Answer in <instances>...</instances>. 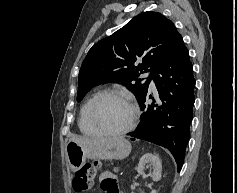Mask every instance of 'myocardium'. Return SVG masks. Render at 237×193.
Returning <instances> with one entry per match:
<instances>
[{"label": "myocardium", "instance_id": "obj_1", "mask_svg": "<svg viewBox=\"0 0 237 193\" xmlns=\"http://www.w3.org/2000/svg\"><path fill=\"white\" fill-rule=\"evenodd\" d=\"M109 97L121 99L125 101L131 107V110H132L131 120L129 124L121 130H117V131L104 130L98 126L95 120V111H96L97 106L102 100ZM138 118H139V107L137 103L135 102V100L132 97L118 91H104V92L99 93L92 101L88 110V120H89L90 125L99 135L106 136V137H117V136H122V135L127 134L134 128V126L137 123Z\"/></svg>", "mask_w": 237, "mask_h": 193}]
</instances>
